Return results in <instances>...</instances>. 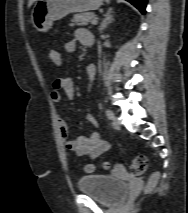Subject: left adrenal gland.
<instances>
[{
	"instance_id": "obj_1",
	"label": "left adrenal gland",
	"mask_w": 188,
	"mask_h": 213,
	"mask_svg": "<svg viewBox=\"0 0 188 213\" xmlns=\"http://www.w3.org/2000/svg\"><path fill=\"white\" fill-rule=\"evenodd\" d=\"M111 13H112V8L108 9L103 21L101 22V24L99 26L100 32H102L114 20Z\"/></svg>"
}]
</instances>
